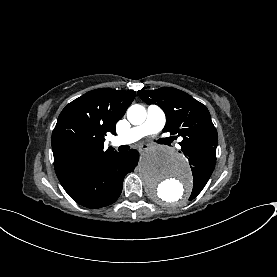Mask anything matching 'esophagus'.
<instances>
[{"mask_svg": "<svg viewBox=\"0 0 277 277\" xmlns=\"http://www.w3.org/2000/svg\"><path fill=\"white\" fill-rule=\"evenodd\" d=\"M143 149H144V147L141 145V146L139 147V151L141 152Z\"/></svg>", "mask_w": 277, "mask_h": 277, "instance_id": "obj_1", "label": "esophagus"}]
</instances>
